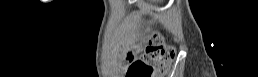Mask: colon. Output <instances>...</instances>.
Listing matches in <instances>:
<instances>
[{
  "mask_svg": "<svg viewBox=\"0 0 258 77\" xmlns=\"http://www.w3.org/2000/svg\"><path fill=\"white\" fill-rule=\"evenodd\" d=\"M175 57V49L154 39L147 46L140 57L128 53L129 66L126 69L127 77H160L165 75L170 63Z\"/></svg>",
  "mask_w": 258,
  "mask_h": 77,
  "instance_id": "1",
  "label": "colon"
}]
</instances>
